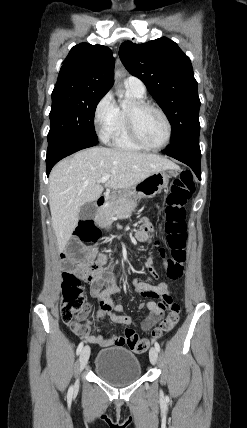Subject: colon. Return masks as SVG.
<instances>
[{"label":"colon","instance_id":"5ec220e1","mask_svg":"<svg viewBox=\"0 0 247 428\" xmlns=\"http://www.w3.org/2000/svg\"><path fill=\"white\" fill-rule=\"evenodd\" d=\"M194 192L195 181L192 175L189 172H183L179 178L174 180L167 197L165 230L170 253L167 256L166 249L160 248V255L165 261V277L171 281L181 278L184 272L187 237L185 204ZM98 233L99 228L94 226L91 221H83L77 230V243H94ZM78 254L77 245L73 244L62 257L69 271L63 274L61 317L71 328L81 331L83 326L80 321L86 315L87 305L80 278L75 273L77 265L75 258ZM82 266L85 281L91 284L99 280L100 265L97 260L88 256ZM143 305L144 299L140 298L138 309H143ZM145 307L149 308V318L141 322V328L144 332L154 328L152 331L153 338H161L169 333L179 321L180 305L171 299L154 298V300L146 301ZM112 340L116 345H127L136 353L145 352L151 342L150 339L140 338L138 331L131 329V327H128L123 336L115 337Z\"/></svg>","mask_w":247,"mask_h":428}]
</instances>
